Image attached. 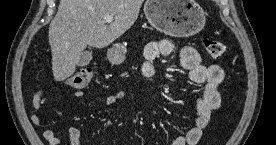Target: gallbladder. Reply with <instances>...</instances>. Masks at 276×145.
Masks as SVG:
<instances>
[{"label":"gallbladder","mask_w":276,"mask_h":145,"mask_svg":"<svg viewBox=\"0 0 276 145\" xmlns=\"http://www.w3.org/2000/svg\"><path fill=\"white\" fill-rule=\"evenodd\" d=\"M92 60V53L90 51H82L77 62V66L84 67Z\"/></svg>","instance_id":"bac80fb5"}]
</instances>
